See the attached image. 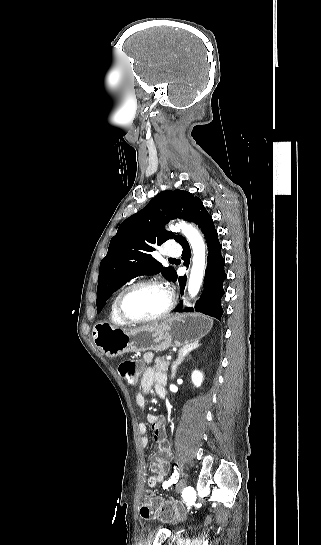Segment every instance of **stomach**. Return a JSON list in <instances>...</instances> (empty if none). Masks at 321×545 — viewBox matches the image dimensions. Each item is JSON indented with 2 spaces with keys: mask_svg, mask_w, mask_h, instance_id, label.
I'll return each mask as SVG.
<instances>
[{
  "mask_svg": "<svg viewBox=\"0 0 321 545\" xmlns=\"http://www.w3.org/2000/svg\"><path fill=\"white\" fill-rule=\"evenodd\" d=\"M213 321L196 313L172 315L160 325L123 331L110 323H96L92 337L95 347L108 357L141 351H166L169 347H185L205 337Z\"/></svg>",
  "mask_w": 321,
  "mask_h": 545,
  "instance_id": "1",
  "label": "stomach"
}]
</instances>
